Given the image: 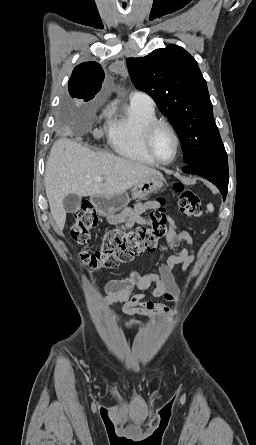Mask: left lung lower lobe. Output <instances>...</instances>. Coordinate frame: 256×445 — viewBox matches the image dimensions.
<instances>
[{
  "label": "left lung lower lobe",
  "instance_id": "obj_1",
  "mask_svg": "<svg viewBox=\"0 0 256 445\" xmlns=\"http://www.w3.org/2000/svg\"><path fill=\"white\" fill-rule=\"evenodd\" d=\"M182 171L208 179L219 188L225 200L229 180L227 155L211 156L196 160L189 163Z\"/></svg>",
  "mask_w": 256,
  "mask_h": 445
}]
</instances>
